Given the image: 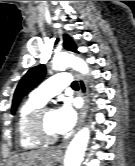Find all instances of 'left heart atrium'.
<instances>
[{
	"label": "left heart atrium",
	"mask_w": 135,
	"mask_h": 166,
	"mask_svg": "<svg viewBox=\"0 0 135 166\" xmlns=\"http://www.w3.org/2000/svg\"><path fill=\"white\" fill-rule=\"evenodd\" d=\"M77 120V113L70 102H65L54 111L53 124L57 134H67L70 132Z\"/></svg>",
	"instance_id": "obj_1"
}]
</instances>
